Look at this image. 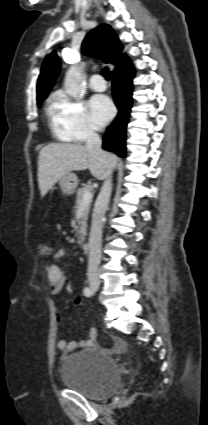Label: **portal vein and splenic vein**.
Masks as SVG:
<instances>
[{
  "label": "portal vein and splenic vein",
  "mask_w": 208,
  "mask_h": 425,
  "mask_svg": "<svg viewBox=\"0 0 208 425\" xmlns=\"http://www.w3.org/2000/svg\"><path fill=\"white\" fill-rule=\"evenodd\" d=\"M92 200V193L91 192H86L83 196L82 202H81V207L84 208L86 207L87 203L90 202Z\"/></svg>",
  "instance_id": "obj_1"
}]
</instances>
